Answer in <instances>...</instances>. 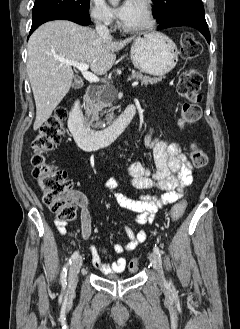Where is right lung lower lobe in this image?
Instances as JSON below:
<instances>
[{
    "label": "right lung lower lobe",
    "mask_w": 240,
    "mask_h": 329,
    "mask_svg": "<svg viewBox=\"0 0 240 329\" xmlns=\"http://www.w3.org/2000/svg\"><path fill=\"white\" fill-rule=\"evenodd\" d=\"M33 22L30 30V34L41 24L55 20V19H63L70 20L80 25L86 26L90 24V17L81 16L78 14L58 12V11H37L32 14Z\"/></svg>",
    "instance_id": "right-lung-lower-lobe-1"
}]
</instances>
